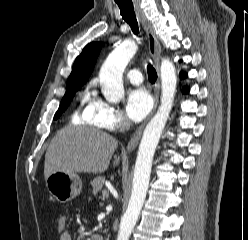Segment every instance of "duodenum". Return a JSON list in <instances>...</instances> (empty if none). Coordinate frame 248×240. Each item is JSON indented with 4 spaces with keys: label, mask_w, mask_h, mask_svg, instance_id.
<instances>
[{
    "label": "duodenum",
    "mask_w": 248,
    "mask_h": 240,
    "mask_svg": "<svg viewBox=\"0 0 248 240\" xmlns=\"http://www.w3.org/2000/svg\"><path fill=\"white\" fill-rule=\"evenodd\" d=\"M97 240H107L106 238H104V237H97Z\"/></svg>",
    "instance_id": "1"
}]
</instances>
